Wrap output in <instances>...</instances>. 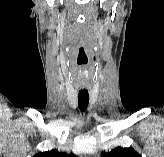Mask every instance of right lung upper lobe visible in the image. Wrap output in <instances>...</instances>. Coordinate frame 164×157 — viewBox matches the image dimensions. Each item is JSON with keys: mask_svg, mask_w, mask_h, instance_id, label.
Returning <instances> with one entry per match:
<instances>
[{"mask_svg": "<svg viewBox=\"0 0 164 157\" xmlns=\"http://www.w3.org/2000/svg\"><path fill=\"white\" fill-rule=\"evenodd\" d=\"M33 157H76L74 154H67L64 152H59L57 150H51L46 152H40Z\"/></svg>", "mask_w": 164, "mask_h": 157, "instance_id": "right-lung-upper-lobe-1", "label": "right lung upper lobe"}]
</instances>
